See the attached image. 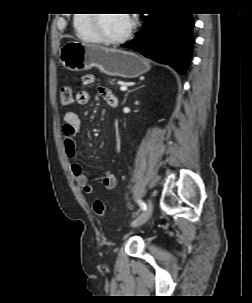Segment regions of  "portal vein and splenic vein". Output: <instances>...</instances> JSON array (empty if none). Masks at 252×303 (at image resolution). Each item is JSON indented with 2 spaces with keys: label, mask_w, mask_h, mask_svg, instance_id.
I'll return each instance as SVG.
<instances>
[{
  "label": "portal vein and splenic vein",
  "mask_w": 252,
  "mask_h": 303,
  "mask_svg": "<svg viewBox=\"0 0 252 303\" xmlns=\"http://www.w3.org/2000/svg\"><path fill=\"white\" fill-rule=\"evenodd\" d=\"M120 90H121V91H126V90H127V86H124V85L121 86V87H120Z\"/></svg>",
  "instance_id": "portal-vein-and-splenic-vein-1"
}]
</instances>
